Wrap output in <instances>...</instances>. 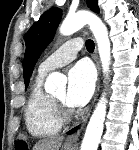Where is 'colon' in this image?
I'll return each instance as SVG.
<instances>
[{"instance_id":"colon-1","label":"colon","mask_w":139,"mask_h":150,"mask_svg":"<svg viewBox=\"0 0 139 150\" xmlns=\"http://www.w3.org/2000/svg\"><path fill=\"white\" fill-rule=\"evenodd\" d=\"M16 150H28L27 145L23 142H18L16 144Z\"/></svg>"}]
</instances>
